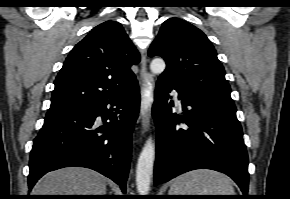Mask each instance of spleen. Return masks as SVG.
<instances>
[{
  "label": "spleen",
  "instance_id": "3e777b00",
  "mask_svg": "<svg viewBox=\"0 0 290 199\" xmlns=\"http://www.w3.org/2000/svg\"><path fill=\"white\" fill-rule=\"evenodd\" d=\"M169 195H235V191L226 175L198 169L176 178Z\"/></svg>",
  "mask_w": 290,
  "mask_h": 199
}]
</instances>
